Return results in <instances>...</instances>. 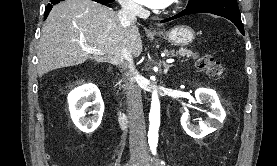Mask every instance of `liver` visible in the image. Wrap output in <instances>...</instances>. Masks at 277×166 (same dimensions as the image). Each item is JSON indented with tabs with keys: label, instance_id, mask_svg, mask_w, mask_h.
I'll use <instances>...</instances> for the list:
<instances>
[{
	"label": "liver",
	"instance_id": "obj_1",
	"mask_svg": "<svg viewBox=\"0 0 277 166\" xmlns=\"http://www.w3.org/2000/svg\"><path fill=\"white\" fill-rule=\"evenodd\" d=\"M93 47L102 54L84 50ZM132 57L142 52V41L135 24L124 28L118 14L92 0H66L55 5L46 19L38 45V75L92 60L122 64V48Z\"/></svg>",
	"mask_w": 277,
	"mask_h": 166
}]
</instances>
